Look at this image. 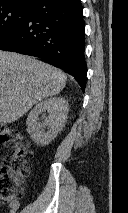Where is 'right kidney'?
<instances>
[{"instance_id":"ca27d5eb","label":"right kidney","mask_w":128,"mask_h":213,"mask_svg":"<svg viewBox=\"0 0 128 213\" xmlns=\"http://www.w3.org/2000/svg\"><path fill=\"white\" fill-rule=\"evenodd\" d=\"M46 111L48 117L40 122L39 115ZM68 111V102L63 97H51L37 103L26 122L31 139L41 146L48 145L63 128Z\"/></svg>"}]
</instances>
